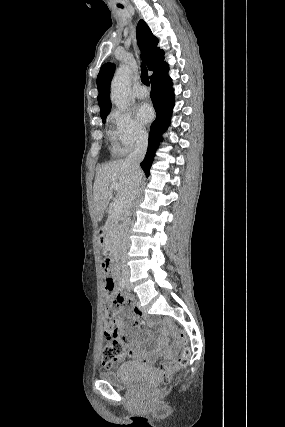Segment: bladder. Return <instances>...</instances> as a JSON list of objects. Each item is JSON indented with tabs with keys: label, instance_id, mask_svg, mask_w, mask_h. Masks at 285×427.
Segmentation results:
<instances>
[{
	"label": "bladder",
	"instance_id": "bladder-1",
	"mask_svg": "<svg viewBox=\"0 0 285 427\" xmlns=\"http://www.w3.org/2000/svg\"><path fill=\"white\" fill-rule=\"evenodd\" d=\"M150 369L137 363H122L115 370L101 371L99 377L113 386L132 387L150 376Z\"/></svg>",
	"mask_w": 285,
	"mask_h": 427
}]
</instances>
